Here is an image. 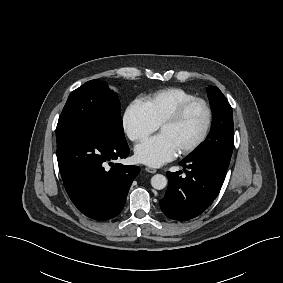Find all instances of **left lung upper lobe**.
<instances>
[{
  "mask_svg": "<svg viewBox=\"0 0 283 283\" xmlns=\"http://www.w3.org/2000/svg\"><path fill=\"white\" fill-rule=\"evenodd\" d=\"M207 93L213 112L211 131L186 158L213 157L229 164L234 147L232 108L219 88L209 86Z\"/></svg>",
  "mask_w": 283,
  "mask_h": 283,
  "instance_id": "5c2ea615",
  "label": "left lung upper lobe"
}]
</instances>
